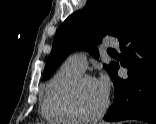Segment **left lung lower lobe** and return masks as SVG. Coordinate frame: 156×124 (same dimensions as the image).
I'll return each mask as SVG.
<instances>
[{"mask_svg": "<svg viewBox=\"0 0 156 124\" xmlns=\"http://www.w3.org/2000/svg\"><path fill=\"white\" fill-rule=\"evenodd\" d=\"M118 39L128 78L118 77L116 63L110 73L114 101L103 119L156 124V0H150L137 22Z\"/></svg>", "mask_w": 156, "mask_h": 124, "instance_id": "obj_1", "label": "left lung lower lobe"}]
</instances>
